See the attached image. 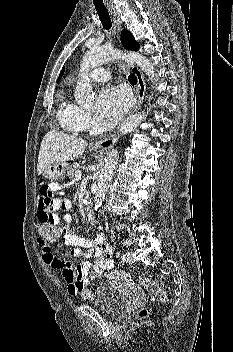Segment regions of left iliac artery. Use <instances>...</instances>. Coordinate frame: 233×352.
I'll return each mask as SVG.
<instances>
[{
  "label": "left iliac artery",
  "instance_id": "44dca946",
  "mask_svg": "<svg viewBox=\"0 0 233 352\" xmlns=\"http://www.w3.org/2000/svg\"><path fill=\"white\" fill-rule=\"evenodd\" d=\"M126 259H127L126 254H123V255H122V261H126Z\"/></svg>",
  "mask_w": 233,
  "mask_h": 352
}]
</instances>
